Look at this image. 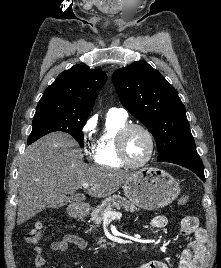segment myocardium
Wrapping results in <instances>:
<instances>
[{
	"mask_svg": "<svg viewBox=\"0 0 221 268\" xmlns=\"http://www.w3.org/2000/svg\"><path fill=\"white\" fill-rule=\"evenodd\" d=\"M134 129H139L143 131L147 135L149 139V143H150V149H149L148 155L143 161L139 163H133L128 159L127 153H126V147H125L126 137L128 133ZM116 147H117V155L121 163L126 167L136 169V168H141L145 166L147 163L151 161L155 153L156 142H155V137L149 128L138 123H128L124 125L118 131L117 138H116Z\"/></svg>",
	"mask_w": 221,
	"mask_h": 268,
	"instance_id": "1",
	"label": "myocardium"
}]
</instances>
